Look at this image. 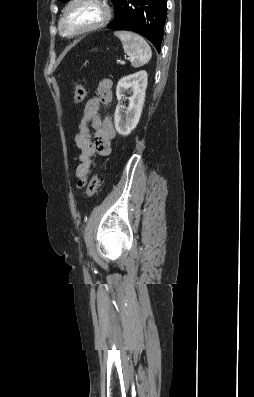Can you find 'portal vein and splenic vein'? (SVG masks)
<instances>
[{"label":"portal vein and splenic vein","instance_id":"portal-vein-and-splenic-vein-1","mask_svg":"<svg viewBox=\"0 0 254 397\" xmlns=\"http://www.w3.org/2000/svg\"><path fill=\"white\" fill-rule=\"evenodd\" d=\"M120 64H125V61L119 60L118 61Z\"/></svg>","mask_w":254,"mask_h":397}]
</instances>
